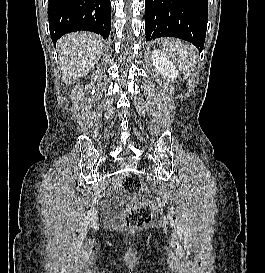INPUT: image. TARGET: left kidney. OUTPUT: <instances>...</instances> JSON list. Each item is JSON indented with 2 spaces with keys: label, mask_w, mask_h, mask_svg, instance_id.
Instances as JSON below:
<instances>
[{
  "label": "left kidney",
  "mask_w": 265,
  "mask_h": 273,
  "mask_svg": "<svg viewBox=\"0 0 265 273\" xmlns=\"http://www.w3.org/2000/svg\"><path fill=\"white\" fill-rule=\"evenodd\" d=\"M151 59L154 67L159 73L165 75L169 79H175L178 76V70L169 57L161 50L154 49L152 51Z\"/></svg>",
  "instance_id": "1"
}]
</instances>
